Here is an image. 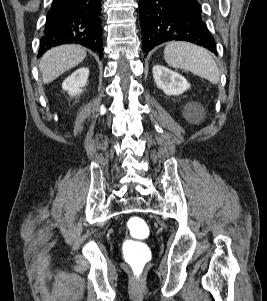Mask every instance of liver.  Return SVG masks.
I'll return each instance as SVG.
<instances>
[{"label": "liver", "mask_w": 267, "mask_h": 301, "mask_svg": "<svg viewBox=\"0 0 267 301\" xmlns=\"http://www.w3.org/2000/svg\"><path fill=\"white\" fill-rule=\"evenodd\" d=\"M85 57L86 51L79 45H60L48 50L39 64L43 83H51L64 72L81 63Z\"/></svg>", "instance_id": "6515ba94"}]
</instances>
